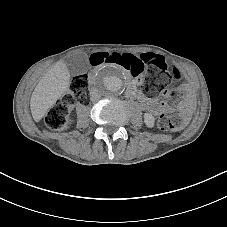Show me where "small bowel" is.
Listing matches in <instances>:
<instances>
[{"label": "small bowel", "mask_w": 227, "mask_h": 227, "mask_svg": "<svg viewBox=\"0 0 227 227\" xmlns=\"http://www.w3.org/2000/svg\"><path fill=\"white\" fill-rule=\"evenodd\" d=\"M109 64L115 65L113 63H109ZM115 66H117V65H115ZM143 104H144L145 109L152 115H158L161 112H164L167 110V105L163 101L150 99V98H144ZM181 110L186 112V110H187L186 103L181 106Z\"/></svg>", "instance_id": "c3829d8e"}]
</instances>
